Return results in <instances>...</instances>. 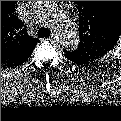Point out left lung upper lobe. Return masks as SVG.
<instances>
[{"mask_svg": "<svg viewBox=\"0 0 121 121\" xmlns=\"http://www.w3.org/2000/svg\"><path fill=\"white\" fill-rule=\"evenodd\" d=\"M93 8H94V6H93ZM93 8L91 6V8H87V13H86V10H84L83 13L87 16H89L90 14L94 15V13L97 11L95 8L94 9ZM111 10H113V9H111ZM111 10L102 9L101 12H103L105 14L107 19L103 18L104 20H101V24H99V21H98L99 26L98 25L92 26V28L94 27L93 33H96L98 36V38L96 37V39H95V41H97L98 47H100L101 45L102 46L110 45V43H112V41L116 40V36L118 35L117 32H114V24L113 25L111 24L112 21H114V14L112 13ZM120 15H121V12H120ZM100 16H101V14H100ZM120 19H121V16H120ZM115 20H117V19H115ZM118 21H119V19H118ZM118 21H117V23H118ZM117 23H116V25H117ZM85 26H86V24L84 25V28H85ZM111 27H112V29H111ZM108 28H109V30H108ZM99 37H101V38H99Z\"/></svg>", "mask_w": 121, "mask_h": 121, "instance_id": "5c2ea615", "label": "left lung upper lobe"}]
</instances>
